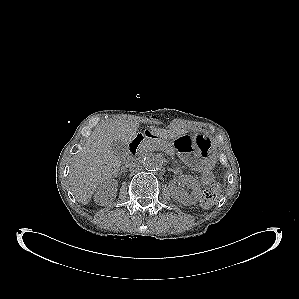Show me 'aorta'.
I'll return each instance as SVG.
<instances>
[{"label": "aorta", "instance_id": "1", "mask_svg": "<svg viewBox=\"0 0 299 299\" xmlns=\"http://www.w3.org/2000/svg\"><path fill=\"white\" fill-rule=\"evenodd\" d=\"M143 166L145 169L153 171L162 166V160L155 154H148L144 157Z\"/></svg>", "mask_w": 299, "mask_h": 299}]
</instances>
